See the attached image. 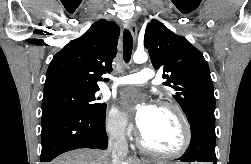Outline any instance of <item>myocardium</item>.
Wrapping results in <instances>:
<instances>
[{
  "instance_id": "1",
  "label": "myocardium",
  "mask_w": 251,
  "mask_h": 164,
  "mask_svg": "<svg viewBox=\"0 0 251 164\" xmlns=\"http://www.w3.org/2000/svg\"><path fill=\"white\" fill-rule=\"evenodd\" d=\"M156 106L158 108L170 109L175 113V115L179 119L180 124L182 126V131H183L182 143H181L180 147L178 149H176L175 151H161V150H157V149L150 147L145 142L142 133H140L138 136V144L144 151H146L147 153L154 155V156L164 157V158L179 157V156L183 155L188 150V148L191 144L192 131H191L190 122H189L186 114L182 110V108L174 102L162 100V101H158Z\"/></svg>"
}]
</instances>
